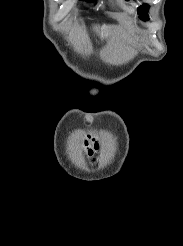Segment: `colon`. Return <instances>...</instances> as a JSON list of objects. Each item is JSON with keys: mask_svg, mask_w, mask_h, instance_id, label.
Wrapping results in <instances>:
<instances>
[{"mask_svg": "<svg viewBox=\"0 0 183 246\" xmlns=\"http://www.w3.org/2000/svg\"><path fill=\"white\" fill-rule=\"evenodd\" d=\"M85 145L89 150H93L95 149L97 142L94 136L89 135L86 139H85Z\"/></svg>", "mask_w": 183, "mask_h": 246, "instance_id": "colon-1", "label": "colon"}]
</instances>
